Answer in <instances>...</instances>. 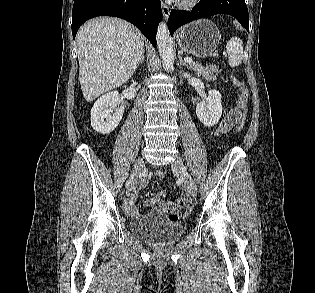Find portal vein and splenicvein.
Wrapping results in <instances>:
<instances>
[{"label":"portal vein and splenic vein","mask_w":315,"mask_h":293,"mask_svg":"<svg viewBox=\"0 0 315 293\" xmlns=\"http://www.w3.org/2000/svg\"><path fill=\"white\" fill-rule=\"evenodd\" d=\"M184 61H185L186 63H188V64H193V65L196 64V63L192 62V60H191L190 58H188V57H186V58L184 59Z\"/></svg>","instance_id":"obj_1"}]
</instances>
